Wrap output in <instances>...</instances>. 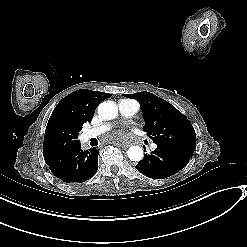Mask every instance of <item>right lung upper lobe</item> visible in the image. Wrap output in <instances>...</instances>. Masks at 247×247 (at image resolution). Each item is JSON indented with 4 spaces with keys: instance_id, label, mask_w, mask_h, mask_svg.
<instances>
[{
    "instance_id": "obj_1",
    "label": "right lung upper lobe",
    "mask_w": 247,
    "mask_h": 247,
    "mask_svg": "<svg viewBox=\"0 0 247 247\" xmlns=\"http://www.w3.org/2000/svg\"><path fill=\"white\" fill-rule=\"evenodd\" d=\"M109 93L80 89L64 97L54 108L46 126L43 152L62 138L79 134L85 122H90L95 108Z\"/></svg>"
}]
</instances>
